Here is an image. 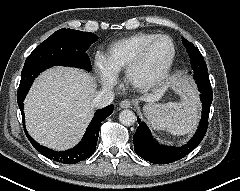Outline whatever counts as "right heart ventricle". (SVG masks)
I'll return each instance as SVG.
<instances>
[{"mask_svg": "<svg viewBox=\"0 0 240 191\" xmlns=\"http://www.w3.org/2000/svg\"><path fill=\"white\" fill-rule=\"evenodd\" d=\"M157 35V33L140 32L113 42L108 48L107 58L114 71L125 72L143 47Z\"/></svg>", "mask_w": 240, "mask_h": 191, "instance_id": "right-heart-ventricle-1", "label": "right heart ventricle"}]
</instances>
